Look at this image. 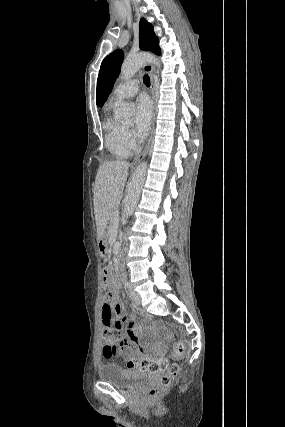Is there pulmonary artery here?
I'll list each match as a JSON object with an SVG mask.
<instances>
[{
    "label": "pulmonary artery",
    "mask_w": 285,
    "mask_h": 427,
    "mask_svg": "<svg viewBox=\"0 0 285 427\" xmlns=\"http://www.w3.org/2000/svg\"><path fill=\"white\" fill-rule=\"evenodd\" d=\"M139 91V81L129 79L118 85L112 93L111 102L118 103L124 99L134 97Z\"/></svg>",
    "instance_id": "pulmonary-artery-1"
}]
</instances>
